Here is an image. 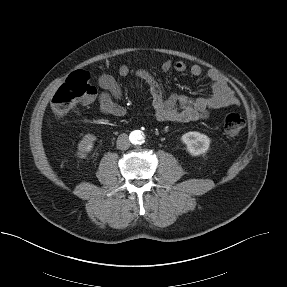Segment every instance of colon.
<instances>
[{
    "label": "colon",
    "mask_w": 287,
    "mask_h": 287,
    "mask_svg": "<svg viewBox=\"0 0 287 287\" xmlns=\"http://www.w3.org/2000/svg\"><path fill=\"white\" fill-rule=\"evenodd\" d=\"M97 95L96 87L91 83L88 72L78 70L72 73L54 94L51 108L58 117H64L74 107L91 103ZM245 121L238 113H228L223 121L224 131L228 135H237Z\"/></svg>",
    "instance_id": "obj_1"
}]
</instances>
